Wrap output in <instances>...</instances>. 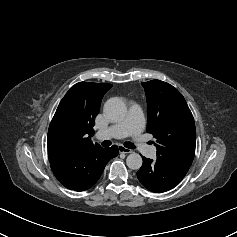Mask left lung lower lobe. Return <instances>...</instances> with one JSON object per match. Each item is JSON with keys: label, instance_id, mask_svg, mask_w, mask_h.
<instances>
[{"label": "left lung lower lobe", "instance_id": "0a47b994", "mask_svg": "<svg viewBox=\"0 0 237 237\" xmlns=\"http://www.w3.org/2000/svg\"><path fill=\"white\" fill-rule=\"evenodd\" d=\"M189 168L160 157L155 161L143 157V165L137 172V177L148 190L160 193L175 187Z\"/></svg>", "mask_w": 237, "mask_h": 237}]
</instances>
